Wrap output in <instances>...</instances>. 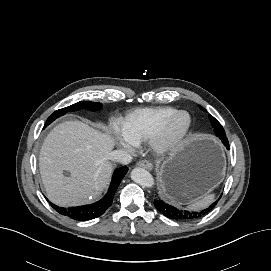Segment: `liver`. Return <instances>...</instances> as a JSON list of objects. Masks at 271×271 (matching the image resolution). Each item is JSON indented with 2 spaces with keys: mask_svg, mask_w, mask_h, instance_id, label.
<instances>
[{
  "mask_svg": "<svg viewBox=\"0 0 271 271\" xmlns=\"http://www.w3.org/2000/svg\"><path fill=\"white\" fill-rule=\"evenodd\" d=\"M113 138L81 121L53 128L41 147L39 167L48 199L69 207L92 202L106 187L113 166ZM64 171L69 175H64Z\"/></svg>",
  "mask_w": 271,
  "mask_h": 271,
  "instance_id": "1",
  "label": "liver"
}]
</instances>
